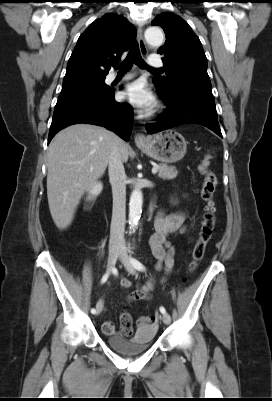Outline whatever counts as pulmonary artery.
<instances>
[{
	"label": "pulmonary artery",
	"mask_w": 272,
	"mask_h": 401,
	"mask_svg": "<svg viewBox=\"0 0 272 401\" xmlns=\"http://www.w3.org/2000/svg\"><path fill=\"white\" fill-rule=\"evenodd\" d=\"M148 64H149V66H151V67L158 68V67H161V66L163 65V62H162V59H161L159 56H151V57H149V59H148ZM129 77H130L129 75H126V76H124L122 79H128ZM117 78H118L117 75L111 74V75L108 77V81H109V82H112V81H114V80L117 79Z\"/></svg>",
	"instance_id": "obj_1"
}]
</instances>
